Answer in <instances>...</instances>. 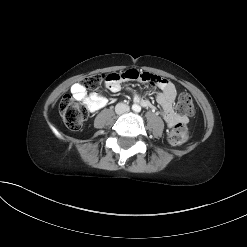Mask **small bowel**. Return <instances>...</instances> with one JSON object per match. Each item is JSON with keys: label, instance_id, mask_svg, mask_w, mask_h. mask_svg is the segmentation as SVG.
I'll return each instance as SVG.
<instances>
[{"label": "small bowel", "instance_id": "c3829d8e", "mask_svg": "<svg viewBox=\"0 0 247 247\" xmlns=\"http://www.w3.org/2000/svg\"><path fill=\"white\" fill-rule=\"evenodd\" d=\"M127 83H143L145 86L156 85L159 89L156 99L163 110V117L169 127H174L178 123L186 122V119L180 117L173 109V104L177 96L175 85L168 79L150 74L149 72H139V70L132 68L128 71H114L109 72L105 76L104 86L111 92H118L121 89V84ZM71 94L74 99L82 102L86 108L94 113L103 108L107 104V99L98 92L87 93L86 89L81 83L72 85ZM134 102L141 104L144 107H151V102L137 94L133 96Z\"/></svg>", "mask_w": 247, "mask_h": 247}]
</instances>
